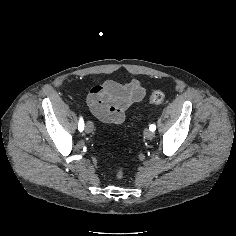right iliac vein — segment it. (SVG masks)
Instances as JSON below:
<instances>
[{
	"label": "right iliac vein",
	"mask_w": 236,
	"mask_h": 236,
	"mask_svg": "<svg viewBox=\"0 0 236 236\" xmlns=\"http://www.w3.org/2000/svg\"><path fill=\"white\" fill-rule=\"evenodd\" d=\"M93 128H94L93 123L88 121L85 126V131L87 133H91L93 131Z\"/></svg>",
	"instance_id": "obj_1"
}]
</instances>
